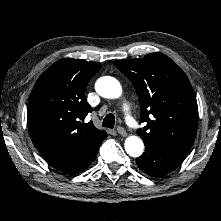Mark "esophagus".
Wrapping results in <instances>:
<instances>
[{
  "label": "esophagus",
  "instance_id": "obj_1",
  "mask_svg": "<svg viewBox=\"0 0 221 221\" xmlns=\"http://www.w3.org/2000/svg\"><path fill=\"white\" fill-rule=\"evenodd\" d=\"M117 132H118V134H120L121 136H126V135H127L126 130H125L123 127H121V126H118V127H117Z\"/></svg>",
  "mask_w": 221,
  "mask_h": 221
}]
</instances>
